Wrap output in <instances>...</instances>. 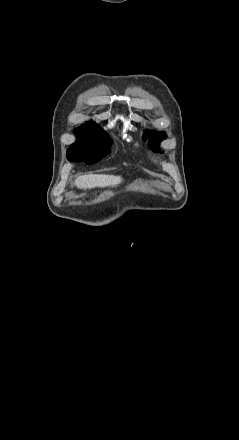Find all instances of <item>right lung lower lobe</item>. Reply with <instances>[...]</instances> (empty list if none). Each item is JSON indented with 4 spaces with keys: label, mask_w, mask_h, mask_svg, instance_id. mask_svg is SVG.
I'll list each match as a JSON object with an SVG mask.
<instances>
[{
    "label": "right lung lower lobe",
    "mask_w": 239,
    "mask_h": 440,
    "mask_svg": "<svg viewBox=\"0 0 239 440\" xmlns=\"http://www.w3.org/2000/svg\"><path fill=\"white\" fill-rule=\"evenodd\" d=\"M107 154L101 153L94 149H80L74 152H67V158L71 161H84L87 164H94Z\"/></svg>",
    "instance_id": "98d812e1"
}]
</instances>
